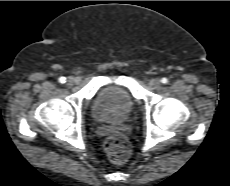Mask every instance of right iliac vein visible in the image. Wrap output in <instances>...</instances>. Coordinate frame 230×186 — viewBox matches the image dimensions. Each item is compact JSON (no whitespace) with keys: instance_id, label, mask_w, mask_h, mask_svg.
<instances>
[{"instance_id":"right-iliac-vein-1","label":"right iliac vein","mask_w":230,"mask_h":186,"mask_svg":"<svg viewBox=\"0 0 230 186\" xmlns=\"http://www.w3.org/2000/svg\"><path fill=\"white\" fill-rule=\"evenodd\" d=\"M67 85L68 86H72V85H74L75 83H78V80L76 79V78H73V77H69L68 79H67Z\"/></svg>"}]
</instances>
